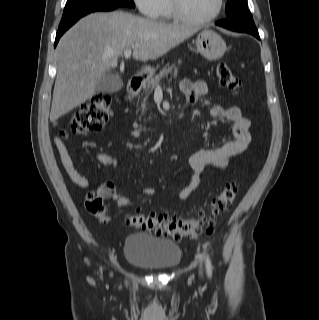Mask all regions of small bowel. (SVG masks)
Returning a JSON list of instances; mask_svg holds the SVG:
<instances>
[{
    "label": "small bowel",
    "mask_w": 319,
    "mask_h": 320,
    "mask_svg": "<svg viewBox=\"0 0 319 320\" xmlns=\"http://www.w3.org/2000/svg\"><path fill=\"white\" fill-rule=\"evenodd\" d=\"M181 90L188 102L193 105L200 97L207 93L208 88L203 81L192 82L190 80H183L181 82ZM210 114L214 118L227 119L233 123L234 140L226 142L220 148L197 151L189 156L188 163L191 168V176L189 183L177 194V199L180 201L186 200L199 187L201 176L205 169L213 168L218 171L227 169L231 160L245 151L251 143V122L242 115V111L238 106L226 108L217 104L211 107ZM54 143L61 165L69 179L81 188L91 187V182L76 169L62 139L59 136H55ZM94 159L98 163L111 166L116 170L120 168L119 161L109 154L96 153ZM105 186L106 184L99 186L96 189V193L104 197H111L119 203L123 197L112 193L106 194ZM156 193V187H146L142 190V194L145 196H153Z\"/></svg>",
    "instance_id": "c3829d8e"
}]
</instances>
